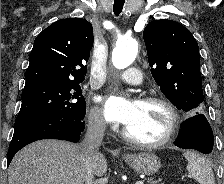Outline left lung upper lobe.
Returning <instances> with one entry per match:
<instances>
[{
	"mask_svg": "<svg viewBox=\"0 0 224 184\" xmlns=\"http://www.w3.org/2000/svg\"><path fill=\"white\" fill-rule=\"evenodd\" d=\"M151 74L162 93L178 108L195 115L203 108L197 41L182 24L167 19L150 22L143 32Z\"/></svg>",
	"mask_w": 224,
	"mask_h": 184,
	"instance_id": "1",
	"label": "left lung upper lobe"
}]
</instances>
